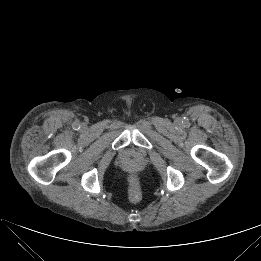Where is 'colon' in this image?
Listing matches in <instances>:
<instances>
[{"label": "colon", "mask_w": 261, "mask_h": 261, "mask_svg": "<svg viewBox=\"0 0 261 261\" xmlns=\"http://www.w3.org/2000/svg\"><path fill=\"white\" fill-rule=\"evenodd\" d=\"M128 198L131 202L136 203L141 199V189L138 177L135 174L129 176Z\"/></svg>", "instance_id": "1"}]
</instances>
